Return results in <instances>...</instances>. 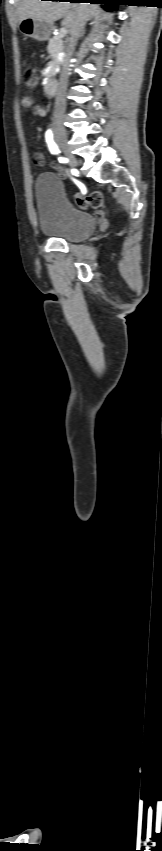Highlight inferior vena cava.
Returning a JSON list of instances; mask_svg holds the SVG:
<instances>
[{
	"mask_svg": "<svg viewBox=\"0 0 162 851\" xmlns=\"http://www.w3.org/2000/svg\"><path fill=\"white\" fill-rule=\"evenodd\" d=\"M87 21V15L81 11L78 16L77 23L75 27L70 31V49L71 52L74 51L75 46L77 44L78 39L82 36L84 25ZM68 75H69V62H66L63 68V72L60 77L59 86L57 90V95L55 99V107L53 113V124L55 132L65 133V129L63 127V118L66 109V90L68 84Z\"/></svg>",
	"mask_w": 162,
	"mask_h": 851,
	"instance_id": "1",
	"label": "inferior vena cava"
}]
</instances>
